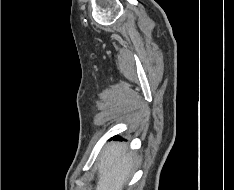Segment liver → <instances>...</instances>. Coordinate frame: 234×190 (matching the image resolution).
Listing matches in <instances>:
<instances>
[{
    "instance_id": "liver-1",
    "label": "liver",
    "mask_w": 234,
    "mask_h": 190,
    "mask_svg": "<svg viewBox=\"0 0 234 190\" xmlns=\"http://www.w3.org/2000/svg\"><path fill=\"white\" fill-rule=\"evenodd\" d=\"M132 166V158L126 146L111 143L99 159L96 190H123Z\"/></svg>"
}]
</instances>
